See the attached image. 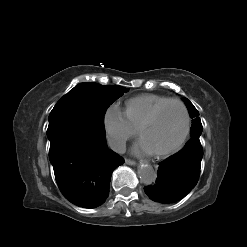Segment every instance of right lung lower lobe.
<instances>
[{
    "label": "right lung lower lobe",
    "instance_id": "obj_1",
    "mask_svg": "<svg viewBox=\"0 0 247 247\" xmlns=\"http://www.w3.org/2000/svg\"><path fill=\"white\" fill-rule=\"evenodd\" d=\"M49 159L64 197L83 208H96L109 195L113 170L124 159L108 149L105 133L77 118L49 122Z\"/></svg>",
    "mask_w": 247,
    "mask_h": 247
}]
</instances>
